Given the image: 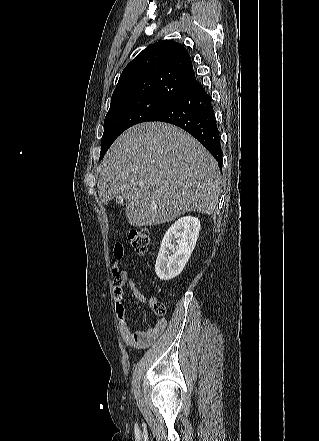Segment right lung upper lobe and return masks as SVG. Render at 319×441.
Masks as SVG:
<instances>
[{
	"instance_id": "right-lung-upper-lobe-1",
	"label": "right lung upper lobe",
	"mask_w": 319,
	"mask_h": 441,
	"mask_svg": "<svg viewBox=\"0 0 319 441\" xmlns=\"http://www.w3.org/2000/svg\"><path fill=\"white\" fill-rule=\"evenodd\" d=\"M195 81L186 48L174 41H160L144 49L125 67L110 107L145 96L173 101Z\"/></svg>"
}]
</instances>
